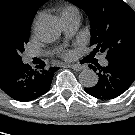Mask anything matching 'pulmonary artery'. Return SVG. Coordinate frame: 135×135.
<instances>
[{"label":"pulmonary artery","mask_w":135,"mask_h":135,"mask_svg":"<svg viewBox=\"0 0 135 135\" xmlns=\"http://www.w3.org/2000/svg\"><path fill=\"white\" fill-rule=\"evenodd\" d=\"M61 25L63 31L67 37H71L77 31L79 24H80V16L79 15H69L63 16L60 18ZM38 54L35 52H29L26 55L27 60H31L34 56ZM102 65H108V61L106 59H102Z\"/></svg>","instance_id":"e3ab8cb5"}]
</instances>
